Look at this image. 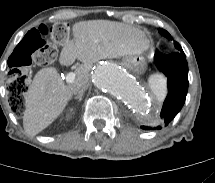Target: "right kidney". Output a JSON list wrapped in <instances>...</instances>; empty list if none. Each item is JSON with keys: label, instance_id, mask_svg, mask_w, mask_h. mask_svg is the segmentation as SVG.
<instances>
[{"label": "right kidney", "instance_id": "obj_1", "mask_svg": "<svg viewBox=\"0 0 215 183\" xmlns=\"http://www.w3.org/2000/svg\"><path fill=\"white\" fill-rule=\"evenodd\" d=\"M73 113H74V109L71 108V109L69 110V114H73Z\"/></svg>", "mask_w": 215, "mask_h": 183}]
</instances>
